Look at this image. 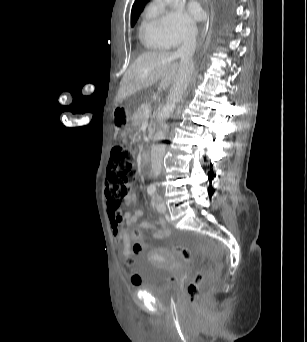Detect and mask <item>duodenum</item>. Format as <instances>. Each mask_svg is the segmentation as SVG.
Listing matches in <instances>:
<instances>
[{"mask_svg": "<svg viewBox=\"0 0 307 342\" xmlns=\"http://www.w3.org/2000/svg\"><path fill=\"white\" fill-rule=\"evenodd\" d=\"M150 156L148 151L141 152V160L143 165H147L149 162Z\"/></svg>", "mask_w": 307, "mask_h": 342, "instance_id": "duodenum-1", "label": "duodenum"}]
</instances>
